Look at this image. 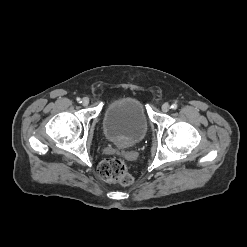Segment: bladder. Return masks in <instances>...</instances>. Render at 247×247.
Segmentation results:
<instances>
[{"mask_svg":"<svg viewBox=\"0 0 247 247\" xmlns=\"http://www.w3.org/2000/svg\"><path fill=\"white\" fill-rule=\"evenodd\" d=\"M149 128V120L141 100L125 96L112 101L103 115V130L108 141L129 147L141 141Z\"/></svg>","mask_w":247,"mask_h":247,"instance_id":"31cf9c89","label":"bladder"}]
</instances>
